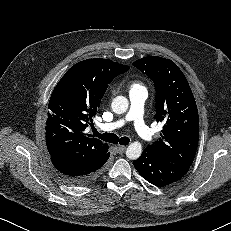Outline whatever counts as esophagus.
I'll return each instance as SVG.
<instances>
[{
    "label": "esophagus",
    "instance_id": "34e87169",
    "mask_svg": "<svg viewBox=\"0 0 231 231\" xmlns=\"http://www.w3.org/2000/svg\"><path fill=\"white\" fill-rule=\"evenodd\" d=\"M126 151V147L125 146H118L117 147V152L119 154H123Z\"/></svg>",
    "mask_w": 231,
    "mask_h": 231
}]
</instances>
